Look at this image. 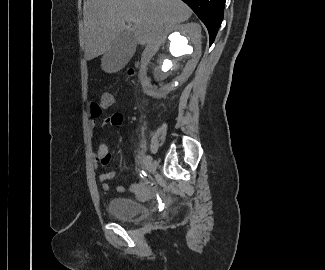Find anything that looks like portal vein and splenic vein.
<instances>
[{
  "instance_id": "18ae733b",
  "label": "portal vein and splenic vein",
  "mask_w": 325,
  "mask_h": 270,
  "mask_svg": "<svg viewBox=\"0 0 325 270\" xmlns=\"http://www.w3.org/2000/svg\"><path fill=\"white\" fill-rule=\"evenodd\" d=\"M128 20L131 21V22H134V23L137 22V19H135V18H133V17H132V18H129Z\"/></svg>"
}]
</instances>
